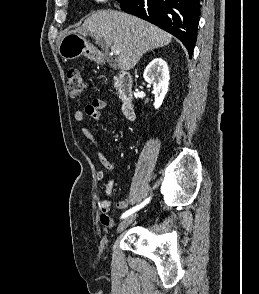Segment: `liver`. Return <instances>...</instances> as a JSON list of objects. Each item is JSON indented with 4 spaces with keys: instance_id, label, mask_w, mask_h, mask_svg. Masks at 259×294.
<instances>
[{
    "instance_id": "liver-1",
    "label": "liver",
    "mask_w": 259,
    "mask_h": 294,
    "mask_svg": "<svg viewBox=\"0 0 259 294\" xmlns=\"http://www.w3.org/2000/svg\"><path fill=\"white\" fill-rule=\"evenodd\" d=\"M76 32L90 34L105 47L120 49L117 65L127 71L135 67L147 51L168 45L172 35L138 17L113 10H101L88 17Z\"/></svg>"
}]
</instances>
